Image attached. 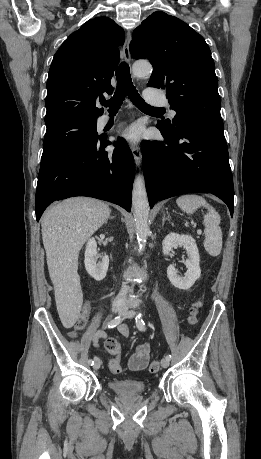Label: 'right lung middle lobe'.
I'll return each instance as SVG.
<instances>
[{"mask_svg": "<svg viewBox=\"0 0 261 459\" xmlns=\"http://www.w3.org/2000/svg\"><path fill=\"white\" fill-rule=\"evenodd\" d=\"M97 120H65L47 127L41 164L73 148L99 139Z\"/></svg>", "mask_w": 261, "mask_h": 459, "instance_id": "dd1d6c3e", "label": "right lung middle lobe"}]
</instances>
